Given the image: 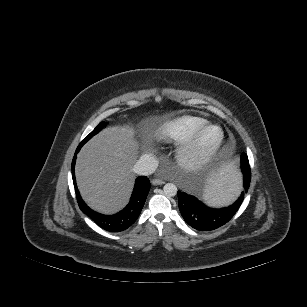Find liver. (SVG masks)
Segmentation results:
<instances>
[{
	"mask_svg": "<svg viewBox=\"0 0 307 307\" xmlns=\"http://www.w3.org/2000/svg\"><path fill=\"white\" fill-rule=\"evenodd\" d=\"M139 149L129 125L106 128L83 146L75 174L79 191L92 209L113 214L127 204Z\"/></svg>",
	"mask_w": 307,
	"mask_h": 307,
	"instance_id": "6515ba94",
	"label": "liver"
}]
</instances>
